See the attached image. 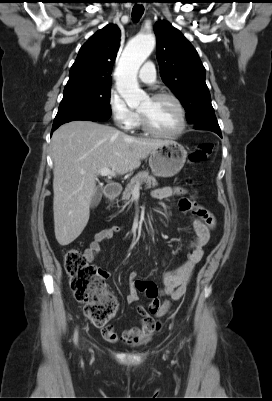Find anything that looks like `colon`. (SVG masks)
<instances>
[{"label":"colon","instance_id":"1","mask_svg":"<svg viewBox=\"0 0 272 401\" xmlns=\"http://www.w3.org/2000/svg\"><path fill=\"white\" fill-rule=\"evenodd\" d=\"M212 143H201L190 153L192 163L204 161L212 153ZM65 271L70 277V287L75 299L85 305V316L98 327L103 328V335L107 337L112 330L108 325L116 311V301L104 288L102 272L90 265L85 254L77 248L69 249L64 259ZM148 285H141L143 290ZM156 311L155 306L148 309L138 308L141 315L148 316Z\"/></svg>","mask_w":272,"mask_h":401}]
</instances>
